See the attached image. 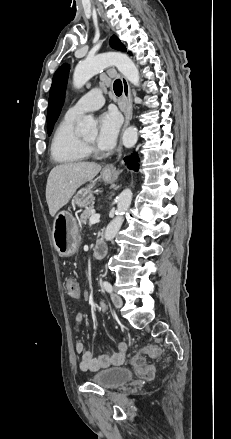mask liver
<instances>
[{
    "label": "liver",
    "mask_w": 231,
    "mask_h": 439,
    "mask_svg": "<svg viewBox=\"0 0 231 439\" xmlns=\"http://www.w3.org/2000/svg\"><path fill=\"white\" fill-rule=\"evenodd\" d=\"M101 170L92 162L65 163L54 167L48 176L46 201L52 217L65 206L76 190L91 181Z\"/></svg>",
    "instance_id": "1"
}]
</instances>
